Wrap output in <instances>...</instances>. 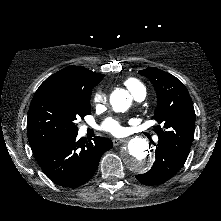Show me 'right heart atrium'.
I'll return each instance as SVG.
<instances>
[{
  "label": "right heart atrium",
  "mask_w": 221,
  "mask_h": 221,
  "mask_svg": "<svg viewBox=\"0 0 221 221\" xmlns=\"http://www.w3.org/2000/svg\"><path fill=\"white\" fill-rule=\"evenodd\" d=\"M106 99V94L102 91H97L93 97V101L97 106L104 104Z\"/></svg>",
  "instance_id": "obj_1"
}]
</instances>
